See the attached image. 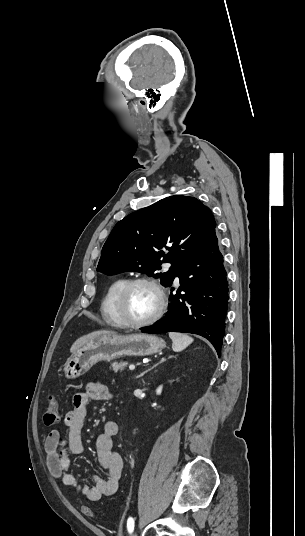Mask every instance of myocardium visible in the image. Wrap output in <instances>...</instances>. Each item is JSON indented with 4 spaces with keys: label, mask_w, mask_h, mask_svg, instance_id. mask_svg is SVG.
Instances as JSON below:
<instances>
[{
    "label": "myocardium",
    "mask_w": 305,
    "mask_h": 536,
    "mask_svg": "<svg viewBox=\"0 0 305 536\" xmlns=\"http://www.w3.org/2000/svg\"><path fill=\"white\" fill-rule=\"evenodd\" d=\"M139 284H148L156 290L158 297H159V306L154 313H152L145 319L140 320V321H129L126 318V313H125L126 297L128 293L130 292V290L134 286L139 285ZM167 305H168V299H167V296L165 294V291L162 285L156 279L152 277H148V276L135 277V278H131L127 280V282L123 285V287L119 291L117 300H116V308H117L118 315L120 319L122 320V326L126 328H141V327L151 324L152 322L156 321L164 314L167 308Z\"/></svg>",
    "instance_id": "f54148a6"
}]
</instances>
